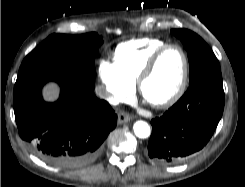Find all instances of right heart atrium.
<instances>
[{
    "label": "right heart atrium",
    "instance_id": "1",
    "mask_svg": "<svg viewBox=\"0 0 245 187\" xmlns=\"http://www.w3.org/2000/svg\"><path fill=\"white\" fill-rule=\"evenodd\" d=\"M98 72L105 100L117 104L130 98L134 85L124 78L113 61L106 58L99 59Z\"/></svg>",
    "mask_w": 245,
    "mask_h": 187
}]
</instances>
